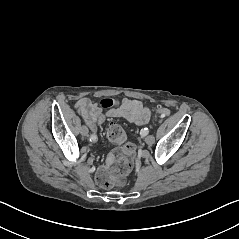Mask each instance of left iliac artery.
<instances>
[{
	"label": "left iliac artery",
	"mask_w": 239,
	"mask_h": 239,
	"mask_svg": "<svg viewBox=\"0 0 239 239\" xmlns=\"http://www.w3.org/2000/svg\"><path fill=\"white\" fill-rule=\"evenodd\" d=\"M148 133H149L148 128H144V129H142L141 132H140V134H141L142 136H146V135H148Z\"/></svg>",
	"instance_id": "44dca946"
}]
</instances>
